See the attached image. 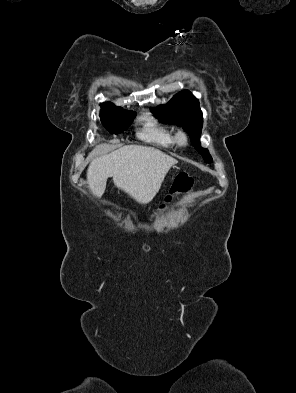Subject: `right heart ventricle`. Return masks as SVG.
<instances>
[{"label":"right heart ventricle","mask_w":296,"mask_h":393,"mask_svg":"<svg viewBox=\"0 0 296 393\" xmlns=\"http://www.w3.org/2000/svg\"><path fill=\"white\" fill-rule=\"evenodd\" d=\"M139 136L162 147H172L176 143L175 134L169 128L159 124L152 117H146Z\"/></svg>","instance_id":"right-heart-ventricle-1"}]
</instances>
